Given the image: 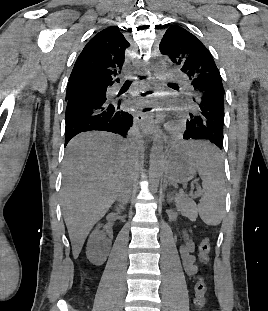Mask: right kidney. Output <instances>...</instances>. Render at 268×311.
I'll return each mask as SVG.
<instances>
[{
    "label": "right kidney",
    "mask_w": 268,
    "mask_h": 311,
    "mask_svg": "<svg viewBox=\"0 0 268 311\" xmlns=\"http://www.w3.org/2000/svg\"><path fill=\"white\" fill-rule=\"evenodd\" d=\"M105 237V232L100 230L99 226L89 236L86 256L94 265H102L109 254L110 241L105 239Z\"/></svg>",
    "instance_id": "1"
}]
</instances>
